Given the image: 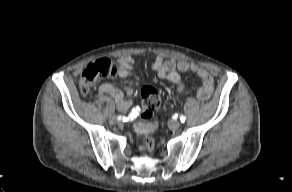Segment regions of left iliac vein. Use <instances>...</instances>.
Listing matches in <instances>:
<instances>
[{
  "label": "left iliac vein",
  "instance_id": "obj_1",
  "mask_svg": "<svg viewBox=\"0 0 292 192\" xmlns=\"http://www.w3.org/2000/svg\"><path fill=\"white\" fill-rule=\"evenodd\" d=\"M168 125L170 129L177 130L181 126V123L178 120H170Z\"/></svg>",
  "mask_w": 292,
  "mask_h": 192
}]
</instances>
